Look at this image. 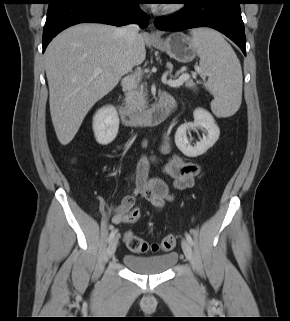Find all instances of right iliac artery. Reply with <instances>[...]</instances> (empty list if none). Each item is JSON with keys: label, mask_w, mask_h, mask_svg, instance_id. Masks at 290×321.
<instances>
[{"label": "right iliac artery", "mask_w": 290, "mask_h": 321, "mask_svg": "<svg viewBox=\"0 0 290 321\" xmlns=\"http://www.w3.org/2000/svg\"><path fill=\"white\" fill-rule=\"evenodd\" d=\"M115 231H112L111 233H110V235H109V241H111L114 237H115Z\"/></svg>", "instance_id": "obj_1"}]
</instances>
